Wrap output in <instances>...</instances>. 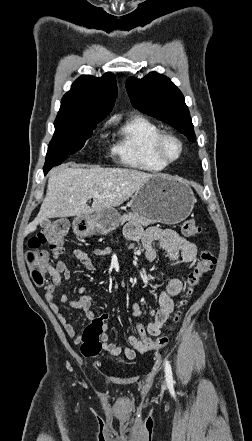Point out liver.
<instances>
[{
    "instance_id": "obj_1",
    "label": "liver",
    "mask_w": 252,
    "mask_h": 441,
    "mask_svg": "<svg viewBox=\"0 0 252 441\" xmlns=\"http://www.w3.org/2000/svg\"><path fill=\"white\" fill-rule=\"evenodd\" d=\"M154 175L127 168H73L67 165L51 171L47 192L37 217L25 235L50 218L88 216L115 208L131 197ZM103 198H95V195ZM93 199L92 206L87 201Z\"/></svg>"
}]
</instances>
